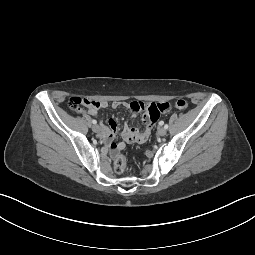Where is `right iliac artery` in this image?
<instances>
[{"label": "right iliac artery", "instance_id": "1", "mask_svg": "<svg viewBox=\"0 0 255 255\" xmlns=\"http://www.w3.org/2000/svg\"><path fill=\"white\" fill-rule=\"evenodd\" d=\"M92 123H93V124H97V121H96V120H92Z\"/></svg>", "mask_w": 255, "mask_h": 255}]
</instances>
